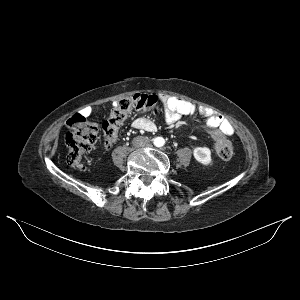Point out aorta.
Instances as JSON below:
<instances>
[{"mask_svg":"<svg viewBox=\"0 0 300 300\" xmlns=\"http://www.w3.org/2000/svg\"><path fill=\"white\" fill-rule=\"evenodd\" d=\"M153 143L156 147H162L165 144V139L163 137H156L153 139Z\"/></svg>","mask_w":300,"mask_h":300,"instance_id":"762f6f07","label":"aorta"}]
</instances>
